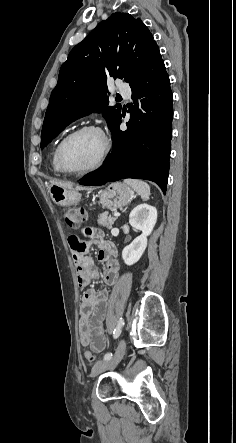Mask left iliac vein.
Masks as SVG:
<instances>
[{
	"instance_id": "1",
	"label": "left iliac vein",
	"mask_w": 236,
	"mask_h": 443,
	"mask_svg": "<svg viewBox=\"0 0 236 443\" xmlns=\"http://www.w3.org/2000/svg\"><path fill=\"white\" fill-rule=\"evenodd\" d=\"M125 347V341L122 339L119 342L115 354L111 359L98 361L94 364L92 368V376L95 377L108 369L114 368L122 360L125 353Z\"/></svg>"
}]
</instances>
